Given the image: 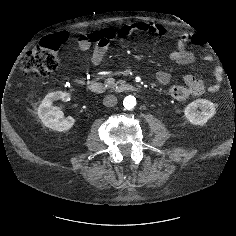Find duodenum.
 Masks as SVG:
<instances>
[{"mask_svg": "<svg viewBox=\"0 0 236 236\" xmlns=\"http://www.w3.org/2000/svg\"><path fill=\"white\" fill-rule=\"evenodd\" d=\"M89 90L94 94H103L107 91L106 86L101 82H92L89 85ZM116 92H133L137 91V87L133 84L123 83L115 87Z\"/></svg>", "mask_w": 236, "mask_h": 236, "instance_id": "obj_1", "label": "duodenum"}]
</instances>
